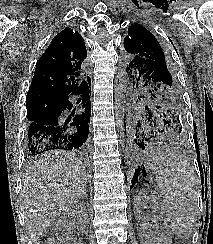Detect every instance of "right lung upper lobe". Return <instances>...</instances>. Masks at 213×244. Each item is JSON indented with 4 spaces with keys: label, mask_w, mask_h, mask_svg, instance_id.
Returning <instances> with one entry per match:
<instances>
[{
    "label": "right lung upper lobe",
    "mask_w": 213,
    "mask_h": 244,
    "mask_svg": "<svg viewBox=\"0 0 213 244\" xmlns=\"http://www.w3.org/2000/svg\"><path fill=\"white\" fill-rule=\"evenodd\" d=\"M86 56L82 36L69 27L64 28L38 60L27 98L39 95L62 98L75 91L76 77Z\"/></svg>",
    "instance_id": "right-lung-upper-lobe-1"
}]
</instances>
